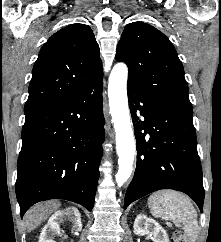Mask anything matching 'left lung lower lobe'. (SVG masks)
Segmentation results:
<instances>
[{
  "instance_id": "1",
  "label": "left lung lower lobe",
  "mask_w": 221,
  "mask_h": 242,
  "mask_svg": "<svg viewBox=\"0 0 221 242\" xmlns=\"http://www.w3.org/2000/svg\"><path fill=\"white\" fill-rule=\"evenodd\" d=\"M127 92L137 166L124 209L151 192L174 189L189 195L202 211L204 188L193 116L160 105L129 84Z\"/></svg>"
}]
</instances>
